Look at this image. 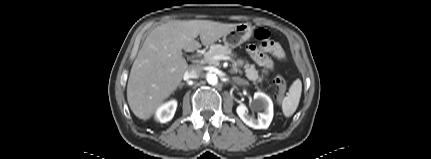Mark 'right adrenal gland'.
Instances as JSON below:
<instances>
[{
  "instance_id": "obj_1",
  "label": "right adrenal gland",
  "mask_w": 431,
  "mask_h": 159,
  "mask_svg": "<svg viewBox=\"0 0 431 159\" xmlns=\"http://www.w3.org/2000/svg\"><path fill=\"white\" fill-rule=\"evenodd\" d=\"M183 85H184V83H181V84H180V88H182V86H183Z\"/></svg>"
}]
</instances>
